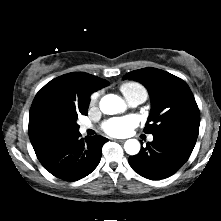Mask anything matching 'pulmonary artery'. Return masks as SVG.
Instances as JSON below:
<instances>
[{"mask_svg":"<svg viewBox=\"0 0 221 221\" xmlns=\"http://www.w3.org/2000/svg\"><path fill=\"white\" fill-rule=\"evenodd\" d=\"M145 99H146V96L144 94H136V95L126 98L128 104L132 107H135V106L141 104L142 102L145 101ZM91 128H92L91 125H81L79 130L81 133H85L87 130H89ZM149 140L152 141L153 137L150 136Z\"/></svg>","mask_w":221,"mask_h":221,"instance_id":"pulmonary-artery-1","label":"pulmonary artery"}]
</instances>
